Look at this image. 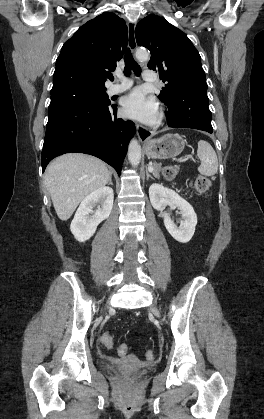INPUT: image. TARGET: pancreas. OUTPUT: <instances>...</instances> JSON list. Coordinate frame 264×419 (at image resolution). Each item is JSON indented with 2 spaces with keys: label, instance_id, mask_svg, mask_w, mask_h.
Wrapping results in <instances>:
<instances>
[{
  "label": "pancreas",
  "instance_id": "cf45deb5",
  "mask_svg": "<svg viewBox=\"0 0 264 419\" xmlns=\"http://www.w3.org/2000/svg\"><path fill=\"white\" fill-rule=\"evenodd\" d=\"M162 171L161 164L154 163L153 175L157 178L160 177L159 173Z\"/></svg>",
  "mask_w": 264,
  "mask_h": 419
}]
</instances>
